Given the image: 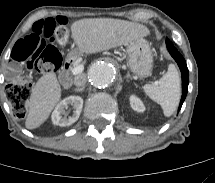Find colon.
<instances>
[{"label": "colon", "mask_w": 215, "mask_h": 183, "mask_svg": "<svg viewBox=\"0 0 215 183\" xmlns=\"http://www.w3.org/2000/svg\"><path fill=\"white\" fill-rule=\"evenodd\" d=\"M68 21L63 16L36 22L10 52L9 84L6 96L18 118L26 114L32 84L26 68L40 73L55 71L61 65V55L54 43L66 38Z\"/></svg>", "instance_id": "5ec220e1"}]
</instances>
